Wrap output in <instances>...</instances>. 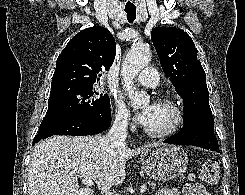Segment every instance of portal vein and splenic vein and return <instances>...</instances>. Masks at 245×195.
Listing matches in <instances>:
<instances>
[{"instance_id": "18ae733b", "label": "portal vein and splenic vein", "mask_w": 245, "mask_h": 195, "mask_svg": "<svg viewBox=\"0 0 245 195\" xmlns=\"http://www.w3.org/2000/svg\"><path fill=\"white\" fill-rule=\"evenodd\" d=\"M82 183L85 184V185H87V186H92L94 184L91 179H83L82 180ZM146 188H147L146 185H143L141 187V193H144L145 190H146Z\"/></svg>"}]
</instances>
